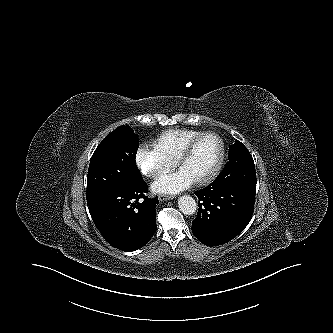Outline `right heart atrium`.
Segmentation results:
<instances>
[{
  "mask_svg": "<svg viewBox=\"0 0 333 333\" xmlns=\"http://www.w3.org/2000/svg\"><path fill=\"white\" fill-rule=\"evenodd\" d=\"M135 163L140 172L149 178L157 179L170 171L175 162L162 156L155 149L141 146L135 155Z\"/></svg>",
  "mask_w": 333,
  "mask_h": 333,
  "instance_id": "obj_1",
  "label": "right heart atrium"
}]
</instances>
